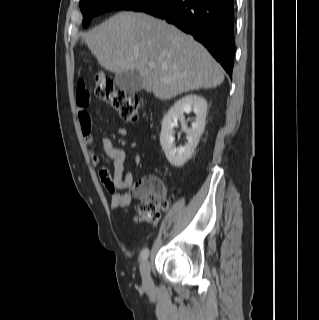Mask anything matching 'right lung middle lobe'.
<instances>
[{
	"mask_svg": "<svg viewBox=\"0 0 319 320\" xmlns=\"http://www.w3.org/2000/svg\"><path fill=\"white\" fill-rule=\"evenodd\" d=\"M153 0H81L80 9L83 13V26L87 27L95 15L111 10H134Z\"/></svg>",
	"mask_w": 319,
	"mask_h": 320,
	"instance_id": "obj_1",
	"label": "right lung middle lobe"
}]
</instances>
